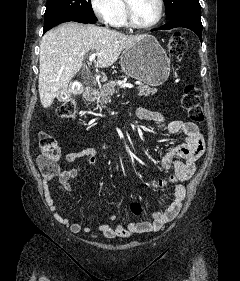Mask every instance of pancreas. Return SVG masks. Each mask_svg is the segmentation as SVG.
I'll use <instances>...</instances> for the list:
<instances>
[{
    "label": "pancreas",
    "mask_w": 240,
    "mask_h": 281,
    "mask_svg": "<svg viewBox=\"0 0 240 281\" xmlns=\"http://www.w3.org/2000/svg\"><path fill=\"white\" fill-rule=\"evenodd\" d=\"M119 81H110L104 85H99V91L96 93L97 106L99 108L105 107V105L111 101V96L115 93L116 87L119 86ZM138 96H150L157 92L156 88H150L148 85L140 84L138 86Z\"/></svg>",
    "instance_id": "obj_1"
}]
</instances>
